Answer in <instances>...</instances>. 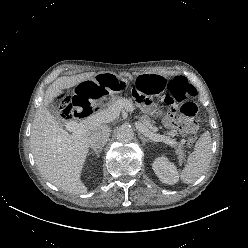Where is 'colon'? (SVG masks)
Listing matches in <instances>:
<instances>
[{
    "label": "colon",
    "mask_w": 248,
    "mask_h": 248,
    "mask_svg": "<svg viewBox=\"0 0 248 248\" xmlns=\"http://www.w3.org/2000/svg\"><path fill=\"white\" fill-rule=\"evenodd\" d=\"M168 94L163 96V100L167 103L172 101L181 102L179 109L180 114L185 118L181 123L190 124L192 128L187 131V142L189 146H193L196 139V117H197V106L190 99L196 95L195 88L181 76L173 78L167 85ZM134 96L139 102H145L147 93L143 90L136 88L134 90ZM82 106L77 102H72L69 99H61L59 104L60 114L64 120H70L74 117L80 116L79 107Z\"/></svg>",
    "instance_id": "5ec220e1"
}]
</instances>
